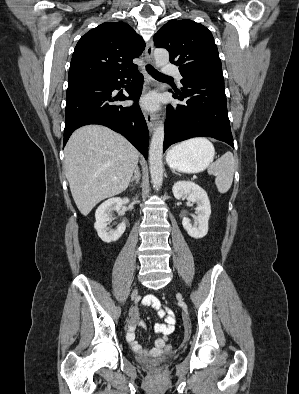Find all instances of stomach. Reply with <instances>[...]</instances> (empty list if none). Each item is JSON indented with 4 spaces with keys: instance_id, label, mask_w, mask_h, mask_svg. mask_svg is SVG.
I'll list each match as a JSON object with an SVG mask.
<instances>
[{
    "instance_id": "0dacf381",
    "label": "stomach",
    "mask_w": 299,
    "mask_h": 394,
    "mask_svg": "<svg viewBox=\"0 0 299 394\" xmlns=\"http://www.w3.org/2000/svg\"><path fill=\"white\" fill-rule=\"evenodd\" d=\"M214 147L201 143H187L172 148L166 157L168 165L177 171L198 173L203 171L214 158Z\"/></svg>"
}]
</instances>
